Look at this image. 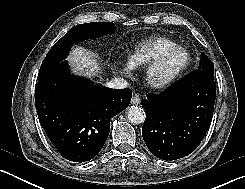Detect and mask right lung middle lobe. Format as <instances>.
<instances>
[{
  "instance_id": "dd1d6c3e",
  "label": "right lung middle lobe",
  "mask_w": 245,
  "mask_h": 189,
  "mask_svg": "<svg viewBox=\"0 0 245 189\" xmlns=\"http://www.w3.org/2000/svg\"><path fill=\"white\" fill-rule=\"evenodd\" d=\"M114 31L115 25L112 22H92L74 26L49 50L42 62L38 77L50 73L54 67L64 62L74 43L112 34Z\"/></svg>"
}]
</instances>
